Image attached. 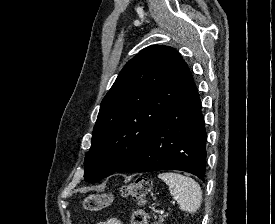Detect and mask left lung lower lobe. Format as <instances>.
Wrapping results in <instances>:
<instances>
[{"mask_svg": "<svg viewBox=\"0 0 275 224\" xmlns=\"http://www.w3.org/2000/svg\"><path fill=\"white\" fill-rule=\"evenodd\" d=\"M206 139L201 102L193 81L153 128L128 171L174 169L204 181Z\"/></svg>", "mask_w": 275, "mask_h": 224, "instance_id": "left-lung-lower-lobe-1", "label": "left lung lower lobe"}]
</instances>
